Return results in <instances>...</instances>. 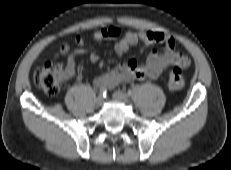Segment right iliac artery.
Returning a JSON list of instances; mask_svg holds the SVG:
<instances>
[{"instance_id": "right-iliac-artery-1", "label": "right iliac artery", "mask_w": 231, "mask_h": 170, "mask_svg": "<svg viewBox=\"0 0 231 170\" xmlns=\"http://www.w3.org/2000/svg\"><path fill=\"white\" fill-rule=\"evenodd\" d=\"M100 96L106 97L107 95V89L105 87H101L99 90Z\"/></svg>"}]
</instances>
